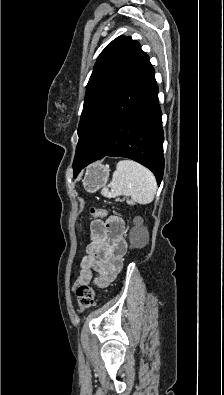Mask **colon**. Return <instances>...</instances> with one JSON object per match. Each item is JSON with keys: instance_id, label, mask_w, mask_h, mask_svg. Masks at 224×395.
<instances>
[{"instance_id": "colon-1", "label": "colon", "mask_w": 224, "mask_h": 395, "mask_svg": "<svg viewBox=\"0 0 224 395\" xmlns=\"http://www.w3.org/2000/svg\"><path fill=\"white\" fill-rule=\"evenodd\" d=\"M89 214L94 218H107L109 216V212L107 210L96 207H90ZM115 229L117 230L118 226H116ZM76 297L78 311L83 312L94 305L96 291L91 285L84 283L78 286L76 290Z\"/></svg>"}]
</instances>
